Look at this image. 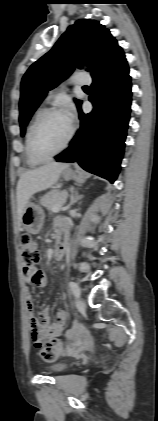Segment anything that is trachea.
<instances>
[{
	"label": "trachea",
	"mask_w": 158,
	"mask_h": 421,
	"mask_svg": "<svg viewBox=\"0 0 158 421\" xmlns=\"http://www.w3.org/2000/svg\"><path fill=\"white\" fill-rule=\"evenodd\" d=\"M84 88H88V86H84Z\"/></svg>",
	"instance_id": "obj_1"
}]
</instances>
